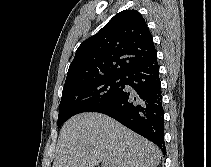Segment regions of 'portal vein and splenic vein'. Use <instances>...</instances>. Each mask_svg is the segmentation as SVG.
<instances>
[{
  "label": "portal vein and splenic vein",
  "instance_id": "obj_1",
  "mask_svg": "<svg viewBox=\"0 0 211 167\" xmlns=\"http://www.w3.org/2000/svg\"><path fill=\"white\" fill-rule=\"evenodd\" d=\"M102 165H103V167H109L107 161H103Z\"/></svg>",
  "mask_w": 211,
  "mask_h": 167
}]
</instances>
